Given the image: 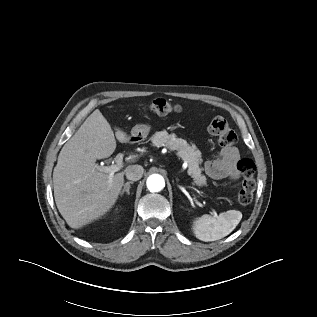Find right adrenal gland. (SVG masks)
<instances>
[{
    "instance_id": "1",
    "label": "right adrenal gland",
    "mask_w": 317,
    "mask_h": 317,
    "mask_svg": "<svg viewBox=\"0 0 317 317\" xmlns=\"http://www.w3.org/2000/svg\"><path fill=\"white\" fill-rule=\"evenodd\" d=\"M130 184H133V182L130 181V182H126V183L124 184V188H123L122 191L120 192V196H121V197L123 196L124 192H127L128 195L130 194Z\"/></svg>"
}]
</instances>
